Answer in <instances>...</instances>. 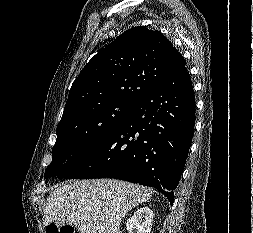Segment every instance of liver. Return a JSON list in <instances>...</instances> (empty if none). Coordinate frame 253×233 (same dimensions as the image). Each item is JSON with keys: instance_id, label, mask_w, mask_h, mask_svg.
<instances>
[{"instance_id": "obj_1", "label": "liver", "mask_w": 253, "mask_h": 233, "mask_svg": "<svg viewBox=\"0 0 253 233\" xmlns=\"http://www.w3.org/2000/svg\"><path fill=\"white\" fill-rule=\"evenodd\" d=\"M152 194L150 188L120 180L69 182L50 193L43 223L71 224L80 233H120L124 216Z\"/></svg>"}]
</instances>
